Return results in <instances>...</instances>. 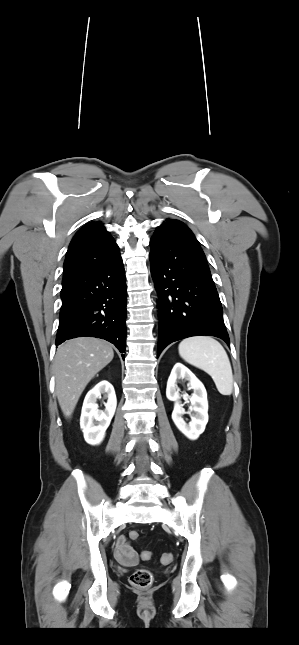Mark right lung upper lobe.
<instances>
[{
  "label": "right lung upper lobe",
  "instance_id": "cb5924a9",
  "mask_svg": "<svg viewBox=\"0 0 299 645\" xmlns=\"http://www.w3.org/2000/svg\"><path fill=\"white\" fill-rule=\"evenodd\" d=\"M120 255L119 247L101 222L83 226L73 237L68 248L62 285L80 273L112 261Z\"/></svg>",
  "mask_w": 299,
  "mask_h": 645
}]
</instances>
